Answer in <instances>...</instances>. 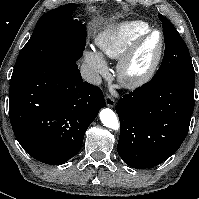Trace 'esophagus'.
Segmentation results:
<instances>
[{
	"mask_svg": "<svg viewBox=\"0 0 199 199\" xmlns=\"http://www.w3.org/2000/svg\"><path fill=\"white\" fill-rule=\"evenodd\" d=\"M105 103L108 107L113 108L116 105L114 98L111 95L105 97Z\"/></svg>",
	"mask_w": 199,
	"mask_h": 199,
	"instance_id": "1",
	"label": "esophagus"
}]
</instances>
